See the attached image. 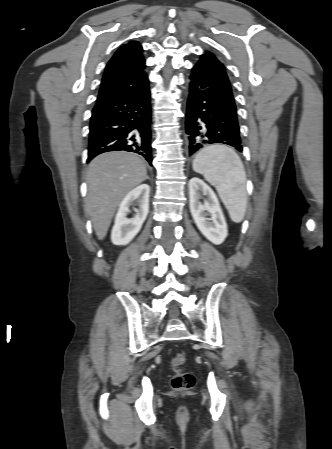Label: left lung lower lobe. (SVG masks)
<instances>
[{"label":"left lung lower lobe","mask_w":332,"mask_h":449,"mask_svg":"<svg viewBox=\"0 0 332 449\" xmlns=\"http://www.w3.org/2000/svg\"><path fill=\"white\" fill-rule=\"evenodd\" d=\"M190 79L186 114L189 155L214 143L242 152L237 109L227 74L213 64L197 62Z\"/></svg>","instance_id":"0a47b994"}]
</instances>
